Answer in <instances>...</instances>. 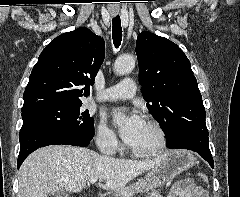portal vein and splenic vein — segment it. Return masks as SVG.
<instances>
[{"mask_svg":"<svg viewBox=\"0 0 240 197\" xmlns=\"http://www.w3.org/2000/svg\"><path fill=\"white\" fill-rule=\"evenodd\" d=\"M96 181H97V178H92V179H90V183H91V184L96 183Z\"/></svg>","mask_w":240,"mask_h":197,"instance_id":"18ae733b","label":"portal vein and splenic vein"}]
</instances>
